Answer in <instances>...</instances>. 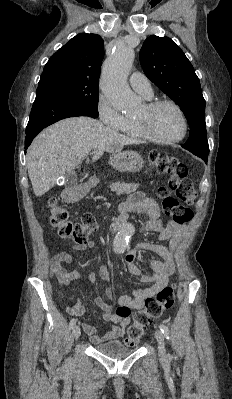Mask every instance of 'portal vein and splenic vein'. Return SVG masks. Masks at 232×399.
Here are the masks:
<instances>
[{
  "label": "portal vein and splenic vein",
  "instance_id": "18ae733b",
  "mask_svg": "<svg viewBox=\"0 0 232 399\" xmlns=\"http://www.w3.org/2000/svg\"><path fill=\"white\" fill-rule=\"evenodd\" d=\"M80 160H84L85 156H79Z\"/></svg>",
  "mask_w": 232,
  "mask_h": 399
}]
</instances>
